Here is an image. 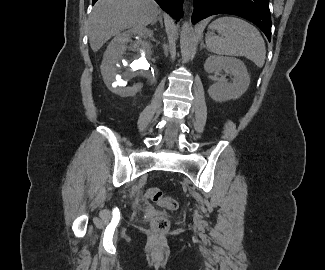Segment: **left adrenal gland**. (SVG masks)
<instances>
[{
    "instance_id": "1",
    "label": "left adrenal gland",
    "mask_w": 325,
    "mask_h": 270,
    "mask_svg": "<svg viewBox=\"0 0 325 270\" xmlns=\"http://www.w3.org/2000/svg\"><path fill=\"white\" fill-rule=\"evenodd\" d=\"M206 46H205V44H204V42H203V40L201 41V44H200V49H202V48H205Z\"/></svg>"
}]
</instances>
